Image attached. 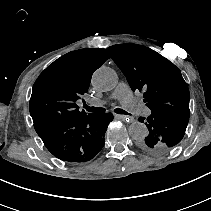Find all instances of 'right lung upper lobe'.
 <instances>
[{"mask_svg": "<svg viewBox=\"0 0 211 211\" xmlns=\"http://www.w3.org/2000/svg\"><path fill=\"white\" fill-rule=\"evenodd\" d=\"M108 58L105 49H80L58 58L39 75L30 99L37 133L86 115L76 101L87 92L93 72Z\"/></svg>", "mask_w": 211, "mask_h": 211, "instance_id": "obj_1", "label": "right lung upper lobe"}]
</instances>
